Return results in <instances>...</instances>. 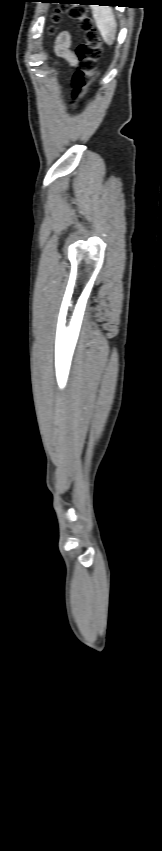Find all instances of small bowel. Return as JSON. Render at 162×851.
<instances>
[{
  "label": "small bowel",
  "instance_id": "small-bowel-1",
  "mask_svg": "<svg viewBox=\"0 0 162 851\" xmlns=\"http://www.w3.org/2000/svg\"><path fill=\"white\" fill-rule=\"evenodd\" d=\"M71 43L72 39L69 33L64 32L60 34L55 42V52L56 54L68 61L72 66H77L78 61L71 51Z\"/></svg>",
  "mask_w": 162,
  "mask_h": 851
}]
</instances>
